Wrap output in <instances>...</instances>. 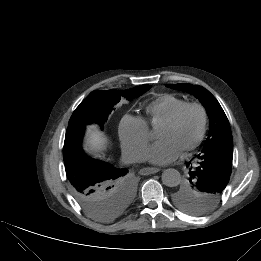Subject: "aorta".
<instances>
[{"label":"aorta","instance_id":"762f6f07","mask_svg":"<svg viewBox=\"0 0 261 261\" xmlns=\"http://www.w3.org/2000/svg\"><path fill=\"white\" fill-rule=\"evenodd\" d=\"M162 182L168 187H176L180 184L181 175L178 170L173 168H168L162 173Z\"/></svg>","mask_w":261,"mask_h":261}]
</instances>
